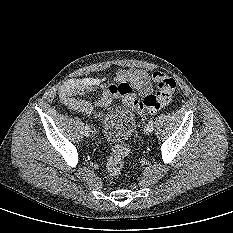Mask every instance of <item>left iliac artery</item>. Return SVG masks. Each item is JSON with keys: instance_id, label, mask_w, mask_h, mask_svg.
<instances>
[{"instance_id": "1", "label": "left iliac artery", "mask_w": 233, "mask_h": 233, "mask_svg": "<svg viewBox=\"0 0 233 233\" xmlns=\"http://www.w3.org/2000/svg\"><path fill=\"white\" fill-rule=\"evenodd\" d=\"M147 126H148L150 131H153V120L152 119L148 122Z\"/></svg>"}]
</instances>
